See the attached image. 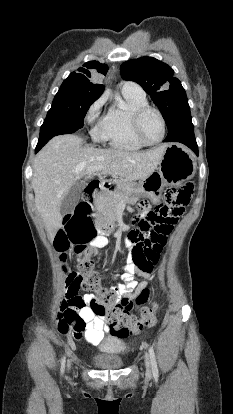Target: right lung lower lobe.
<instances>
[{
	"label": "right lung lower lobe",
	"mask_w": 233,
	"mask_h": 414,
	"mask_svg": "<svg viewBox=\"0 0 233 414\" xmlns=\"http://www.w3.org/2000/svg\"><path fill=\"white\" fill-rule=\"evenodd\" d=\"M80 127L60 121L46 118L40 129V137L35 152H38L52 137L61 134L73 133Z\"/></svg>",
	"instance_id": "obj_1"
}]
</instances>
